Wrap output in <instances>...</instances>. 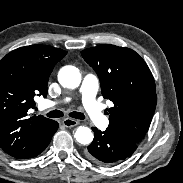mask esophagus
<instances>
[{"label":"esophagus","mask_w":183,"mask_h":183,"mask_svg":"<svg viewBox=\"0 0 183 183\" xmlns=\"http://www.w3.org/2000/svg\"><path fill=\"white\" fill-rule=\"evenodd\" d=\"M62 124L65 127H74L80 124V122L78 120L75 119H71V118H65L62 120Z\"/></svg>","instance_id":"34e87169"}]
</instances>
